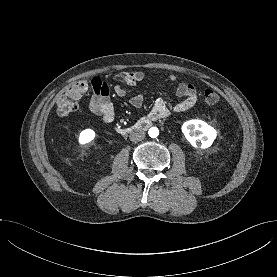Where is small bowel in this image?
Returning <instances> with one entry per match:
<instances>
[{
  "label": "small bowel",
  "mask_w": 277,
  "mask_h": 277,
  "mask_svg": "<svg viewBox=\"0 0 277 277\" xmlns=\"http://www.w3.org/2000/svg\"><path fill=\"white\" fill-rule=\"evenodd\" d=\"M145 75L141 71L121 72L117 75L119 83L114 85V92L124 97L127 95V88L136 86L144 79ZM167 82L175 85L176 94L181 100L172 108L161 100L157 99L149 112V118L152 120L165 119L171 115V112H185L191 109L197 101V91L193 84L179 81L174 74L164 75ZM93 95L89 100V110L94 115L102 118L105 123H111L115 118V105L110 100V84L102 79L95 78L91 81ZM129 102L134 107H140L144 102L142 93L132 96Z\"/></svg>",
  "instance_id": "c3829d8e"
}]
</instances>
